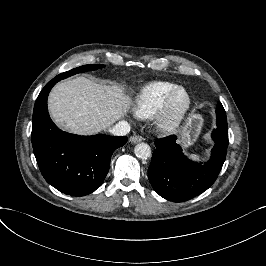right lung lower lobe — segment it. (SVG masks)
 Listing matches in <instances>:
<instances>
[{
  "label": "right lung lower lobe",
  "mask_w": 266,
  "mask_h": 266,
  "mask_svg": "<svg viewBox=\"0 0 266 266\" xmlns=\"http://www.w3.org/2000/svg\"><path fill=\"white\" fill-rule=\"evenodd\" d=\"M58 81L48 82L35 102L33 150L40 171L50 185L71 196H85L102 185L113 151L128 138L104 134L79 136L60 130L47 110L48 94Z\"/></svg>",
  "instance_id": "right-lung-lower-lobe-1"
}]
</instances>
